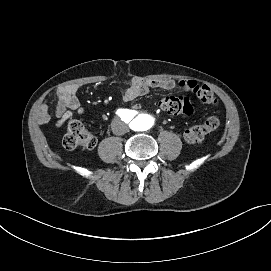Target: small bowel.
Returning <instances> with one entry per match:
<instances>
[{
	"label": "small bowel",
	"mask_w": 271,
	"mask_h": 271,
	"mask_svg": "<svg viewBox=\"0 0 271 271\" xmlns=\"http://www.w3.org/2000/svg\"><path fill=\"white\" fill-rule=\"evenodd\" d=\"M82 88V84H71L61 86L57 89V104L55 107L56 127H61L74 115L84 114L85 110L78 99V94ZM152 88H161L164 90L180 89L187 93L196 94L200 85L194 80L176 81L172 79L153 80L135 78L131 80L129 86L123 91L121 100L123 103L130 102L147 93ZM37 121L40 125H48L52 121V116L46 103L41 104L39 107Z\"/></svg>",
	"instance_id": "c3829d8e"
}]
</instances>
